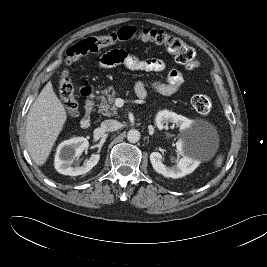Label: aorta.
<instances>
[{
	"mask_svg": "<svg viewBox=\"0 0 267 267\" xmlns=\"http://www.w3.org/2000/svg\"><path fill=\"white\" fill-rule=\"evenodd\" d=\"M140 139V132L137 129H131L127 133V140L130 143H136Z\"/></svg>",
	"mask_w": 267,
	"mask_h": 267,
	"instance_id": "762f6f07",
	"label": "aorta"
}]
</instances>
